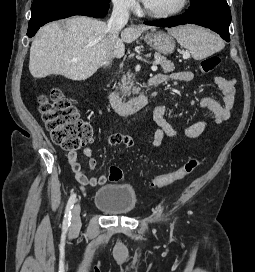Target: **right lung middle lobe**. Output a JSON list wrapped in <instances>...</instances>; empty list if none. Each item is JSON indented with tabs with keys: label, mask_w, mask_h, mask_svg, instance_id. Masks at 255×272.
<instances>
[{
	"label": "right lung middle lobe",
	"mask_w": 255,
	"mask_h": 272,
	"mask_svg": "<svg viewBox=\"0 0 255 272\" xmlns=\"http://www.w3.org/2000/svg\"><path fill=\"white\" fill-rule=\"evenodd\" d=\"M100 1L106 2V3H109V2H110V0H100Z\"/></svg>",
	"instance_id": "1"
}]
</instances>
